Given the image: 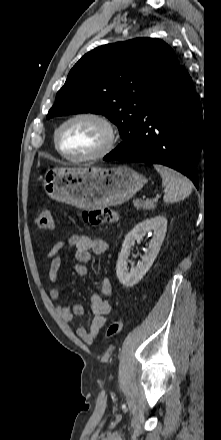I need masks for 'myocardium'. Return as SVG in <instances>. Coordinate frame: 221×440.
Instances as JSON below:
<instances>
[{
  "mask_svg": "<svg viewBox=\"0 0 221 440\" xmlns=\"http://www.w3.org/2000/svg\"><path fill=\"white\" fill-rule=\"evenodd\" d=\"M81 119L92 120V121L99 123L105 130L106 138H105L104 144L97 152L90 154V155L82 156V157H74V156H70L62 151V149L60 147V143H59V136H60L61 131L63 130V128L66 125H68L69 123H71L73 121L81 120ZM117 138H118L117 130H116L113 122L104 114L94 112V111L79 112V113H76V114L70 116L69 118L64 120L57 127V129L55 130V133H54V143H55V148H56L57 152L64 159L71 161V162H74V163L89 162V161H94V160H98V159L105 157L114 149L116 142H117Z\"/></svg>",
  "mask_w": 221,
  "mask_h": 440,
  "instance_id": "1",
  "label": "myocardium"
}]
</instances>
